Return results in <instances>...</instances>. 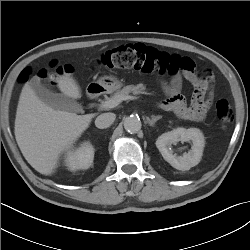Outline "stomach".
I'll use <instances>...</instances> for the list:
<instances>
[{"instance_id":"0dacf381","label":"stomach","mask_w":250,"mask_h":250,"mask_svg":"<svg viewBox=\"0 0 250 250\" xmlns=\"http://www.w3.org/2000/svg\"><path fill=\"white\" fill-rule=\"evenodd\" d=\"M97 84L107 93H112L123 86V83L113 76H103L98 79Z\"/></svg>"}]
</instances>
